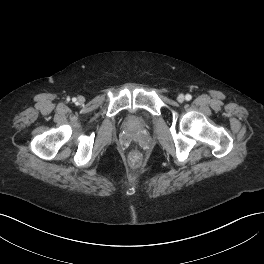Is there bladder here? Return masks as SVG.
<instances>
[{"label":"bladder","mask_w":264,"mask_h":264,"mask_svg":"<svg viewBox=\"0 0 264 264\" xmlns=\"http://www.w3.org/2000/svg\"><path fill=\"white\" fill-rule=\"evenodd\" d=\"M147 121L144 118H134L129 121V125L135 128H142L146 126Z\"/></svg>","instance_id":"obj_1"}]
</instances>
